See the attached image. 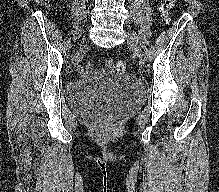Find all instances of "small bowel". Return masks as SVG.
<instances>
[{
  "label": "small bowel",
  "instance_id": "c3829d8e",
  "mask_svg": "<svg viewBox=\"0 0 219 192\" xmlns=\"http://www.w3.org/2000/svg\"><path fill=\"white\" fill-rule=\"evenodd\" d=\"M88 68L91 69V70L95 69V67L93 65H91V64L88 65Z\"/></svg>",
  "mask_w": 219,
  "mask_h": 192
}]
</instances>
